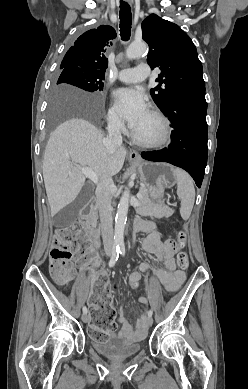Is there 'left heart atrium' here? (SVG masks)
<instances>
[{
  "label": "left heart atrium",
  "instance_id": "1",
  "mask_svg": "<svg viewBox=\"0 0 248 389\" xmlns=\"http://www.w3.org/2000/svg\"><path fill=\"white\" fill-rule=\"evenodd\" d=\"M113 98L121 116L133 130L148 113L145 96L134 88H120L114 91Z\"/></svg>",
  "mask_w": 248,
  "mask_h": 389
}]
</instances>
